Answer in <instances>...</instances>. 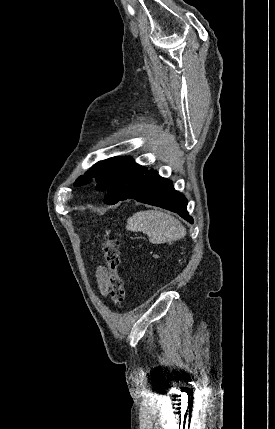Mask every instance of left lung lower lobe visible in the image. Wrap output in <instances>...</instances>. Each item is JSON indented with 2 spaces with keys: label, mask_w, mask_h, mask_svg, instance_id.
I'll return each mask as SVG.
<instances>
[{
  "label": "left lung lower lobe",
  "mask_w": 275,
  "mask_h": 429,
  "mask_svg": "<svg viewBox=\"0 0 275 429\" xmlns=\"http://www.w3.org/2000/svg\"><path fill=\"white\" fill-rule=\"evenodd\" d=\"M107 197H119V190L116 186H111L107 190ZM135 199L138 202L159 206L178 213L185 220L193 223L186 206V198L176 191L172 181L161 177L154 169H147L129 187L127 192L120 197V200Z\"/></svg>",
  "instance_id": "left-lung-lower-lobe-1"
}]
</instances>
